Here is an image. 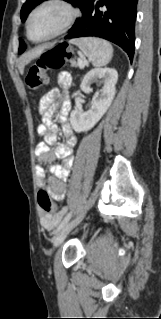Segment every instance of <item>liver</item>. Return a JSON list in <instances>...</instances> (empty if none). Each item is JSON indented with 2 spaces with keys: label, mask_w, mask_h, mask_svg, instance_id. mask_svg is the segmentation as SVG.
Returning <instances> with one entry per match:
<instances>
[{
  "label": "liver",
  "mask_w": 161,
  "mask_h": 319,
  "mask_svg": "<svg viewBox=\"0 0 161 319\" xmlns=\"http://www.w3.org/2000/svg\"><path fill=\"white\" fill-rule=\"evenodd\" d=\"M43 47H38V48H35L34 50L32 51H29L27 53H24L20 59H19V63H18V69H19V72L21 74L24 73V68L25 66L30 63L31 60L35 59L36 57H38L42 52H43Z\"/></svg>",
  "instance_id": "6515ba94"
}]
</instances>
